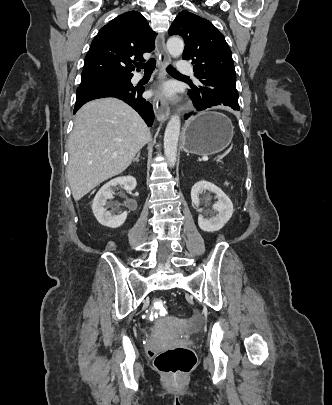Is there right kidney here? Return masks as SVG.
<instances>
[{
  "label": "right kidney",
  "instance_id": "obj_1",
  "mask_svg": "<svg viewBox=\"0 0 332 405\" xmlns=\"http://www.w3.org/2000/svg\"><path fill=\"white\" fill-rule=\"evenodd\" d=\"M120 185L127 191H132L137 186V181L132 176H121L112 179L100 188L94 197L92 210L97 221L106 227L118 228L124 224L127 218V212L114 215L106 209V202L113 197L112 188Z\"/></svg>",
  "mask_w": 332,
  "mask_h": 405
}]
</instances>
